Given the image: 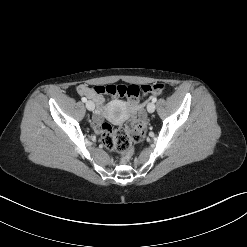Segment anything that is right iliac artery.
I'll use <instances>...</instances> for the list:
<instances>
[{
	"label": "right iliac artery",
	"instance_id": "right-iliac-artery-1",
	"mask_svg": "<svg viewBox=\"0 0 247 247\" xmlns=\"http://www.w3.org/2000/svg\"><path fill=\"white\" fill-rule=\"evenodd\" d=\"M81 100H82V102H86L87 101V99L85 97H82Z\"/></svg>",
	"mask_w": 247,
	"mask_h": 247
}]
</instances>
